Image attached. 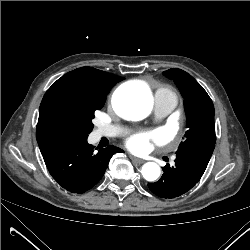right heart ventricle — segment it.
Here are the masks:
<instances>
[{
	"mask_svg": "<svg viewBox=\"0 0 250 250\" xmlns=\"http://www.w3.org/2000/svg\"><path fill=\"white\" fill-rule=\"evenodd\" d=\"M155 100L156 98H165V99H170L173 100L175 103H177V95L173 91L172 88L166 85H161L159 86L154 93Z\"/></svg>",
	"mask_w": 250,
	"mask_h": 250,
	"instance_id": "e07e8e85",
	"label": "right heart ventricle"
}]
</instances>
